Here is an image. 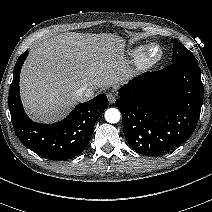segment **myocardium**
Returning a JSON list of instances; mask_svg holds the SVG:
<instances>
[{
	"label": "myocardium",
	"mask_w": 212,
	"mask_h": 212,
	"mask_svg": "<svg viewBox=\"0 0 212 212\" xmlns=\"http://www.w3.org/2000/svg\"><path fill=\"white\" fill-rule=\"evenodd\" d=\"M161 56V48L156 44H152L138 54L137 65L140 69H148L154 66L160 60Z\"/></svg>",
	"instance_id": "myocardium-1"
}]
</instances>
